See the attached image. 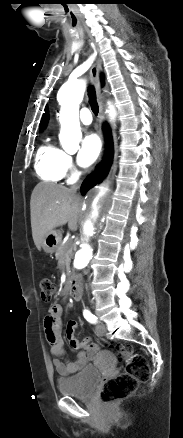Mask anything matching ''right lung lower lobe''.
<instances>
[{
	"instance_id": "right-lung-lower-lobe-1",
	"label": "right lung lower lobe",
	"mask_w": 183,
	"mask_h": 438,
	"mask_svg": "<svg viewBox=\"0 0 183 438\" xmlns=\"http://www.w3.org/2000/svg\"><path fill=\"white\" fill-rule=\"evenodd\" d=\"M107 139L109 144L104 161L102 162L101 166L98 168L97 171H95L92 175H90L84 180L81 186L82 195H84L90 188L100 183L105 178V176L107 175L110 169L112 157H113V148H112V141L109 132H107Z\"/></svg>"
}]
</instances>
